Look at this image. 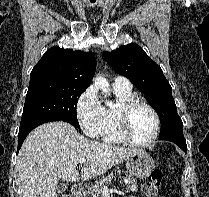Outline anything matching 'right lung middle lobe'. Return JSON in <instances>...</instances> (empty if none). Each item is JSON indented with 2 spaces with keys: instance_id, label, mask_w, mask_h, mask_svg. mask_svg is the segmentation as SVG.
I'll use <instances>...</instances> for the list:
<instances>
[{
  "instance_id": "dd1d6c3e",
  "label": "right lung middle lobe",
  "mask_w": 209,
  "mask_h": 197,
  "mask_svg": "<svg viewBox=\"0 0 209 197\" xmlns=\"http://www.w3.org/2000/svg\"><path fill=\"white\" fill-rule=\"evenodd\" d=\"M86 88L70 82H30L20 128L47 120H63L79 127L76 106Z\"/></svg>"
}]
</instances>
